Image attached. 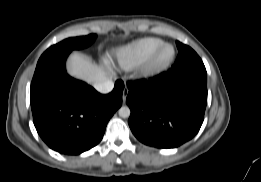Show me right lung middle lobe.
I'll return each mask as SVG.
<instances>
[{"label": "right lung middle lobe", "instance_id": "obj_1", "mask_svg": "<svg viewBox=\"0 0 261 182\" xmlns=\"http://www.w3.org/2000/svg\"><path fill=\"white\" fill-rule=\"evenodd\" d=\"M96 38V34H90L88 36L74 37L63 40L62 42L48 48L40 57V60L47 58L48 56L61 53L71 52L75 49L86 48L93 43Z\"/></svg>", "mask_w": 261, "mask_h": 182}]
</instances>
